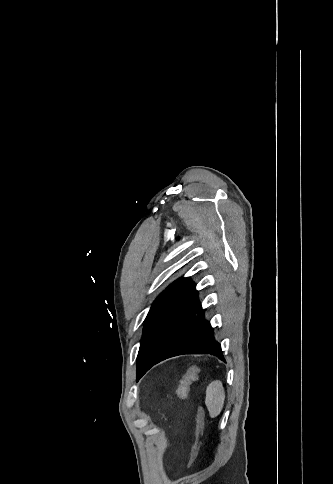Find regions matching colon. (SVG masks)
<instances>
[{
	"label": "colon",
	"instance_id": "5ec220e1",
	"mask_svg": "<svg viewBox=\"0 0 333 484\" xmlns=\"http://www.w3.org/2000/svg\"><path fill=\"white\" fill-rule=\"evenodd\" d=\"M199 373H200V368L197 365L191 366L186 371L176 390V396L178 399L185 400L188 397L190 386L197 379ZM203 425H204V412H203L202 406L199 405L196 412L195 444L191 452L188 466H191L193 464V462L195 461L198 455V451L201 445V439L203 436Z\"/></svg>",
	"mask_w": 333,
	"mask_h": 484
}]
</instances>
